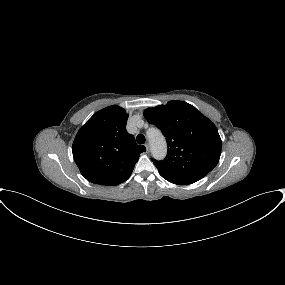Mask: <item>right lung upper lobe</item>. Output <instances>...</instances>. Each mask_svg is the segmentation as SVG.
Wrapping results in <instances>:
<instances>
[{
    "instance_id": "cb5924a9",
    "label": "right lung upper lobe",
    "mask_w": 285,
    "mask_h": 285,
    "mask_svg": "<svg viewBox=\"0 0 285 285\" xmlns=\"http://www.w3.org/2000/svg\"><path fill=\"white\" fill-rule=\"evenodd\" d=\"M128 116L123 108L112 105L96 112L78 131L72 152L88 181L113 186L130 177L146 148L127 133Z\"/></svg>"
}]
</instances>
